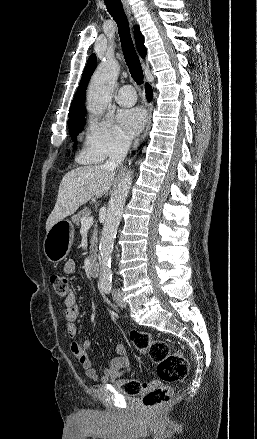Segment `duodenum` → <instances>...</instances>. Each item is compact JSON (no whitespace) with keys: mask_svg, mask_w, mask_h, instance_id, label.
<instances>
[{"mask_svg":"<svg viewBox=\"0 0 257 439\" xmlns=\"http://www.w3.org/2000/svg\"><path fill=\"white\" fill-rule=\"evenodd\" d=\"M88 271L91 276H98L100 273V265L95 256H92L89 261Z\"/></svg>","mask_w":257,"mask_h":439,"instance_id":"duodenum-1","label":"duodenum"}]
</instances>
